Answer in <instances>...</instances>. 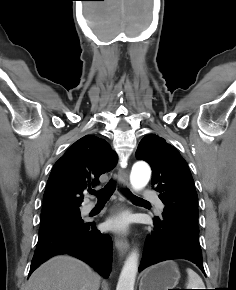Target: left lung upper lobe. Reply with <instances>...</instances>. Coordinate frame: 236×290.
I'll use <instances>...</instances> for the list:
<instances>
[{"instance_id": "obj_1", "label": "left lung upper lobe", "mask_w": 236, "mask_h": 290, "mask_svg": "<svg viewBox=\"0 0 236 290\" xmlns=\"http://www.w3.org/2000/svg\"><path fill=\"white\" fill-rule=\"evenodd\" d=\"M136 158L151 166V184L165 204L163 218L155 217V220H168L199 234L198 196L188 165L177 149L165 139L150 134L141 140Z\"/></svg>"}]
</instances>
